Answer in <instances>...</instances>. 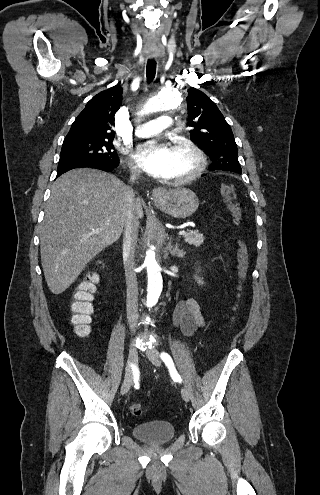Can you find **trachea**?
I'll return each mask as SVG.
<instances>
[{
    "label": "trachea",
    "instance_id": "trachea-1",
    "mask_svg": "<svg viewBox=\"0 0 320 495\" xmlns=\"http://www.w3.org/2000/svg\"><path fill=\"white\" fill-rule=\"evenodd\" d=\"M155 74H156V62L149 61L146 67V76L148 83H150L154 79Z\"/></svg>",
    "mask_w": 320,
    "mask_h": 495
}]
</instances>
